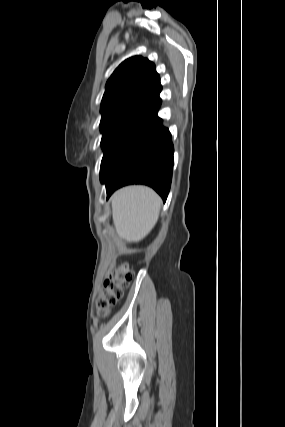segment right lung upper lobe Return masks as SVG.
Returning <instances> with one entry per match:
<instances>
[{
  "instance_id": "right-lung-upper-lobe-1",
  "label": "right lung upper lobe",
  "mask_w": 285,
  "mask_h": 427,
  "mask_svg": "<svg viewBox=\"0 0 285 427\" xmlns=\"http://www.w3.org/2000/svg\"><path fill=\"white\" fill-rule=\"evenodd\" d=\"M162 87L155 65L140 56L122 62L106 84L102 118L119 113H146L159 101Z\"/></svg>"
}]
</instances>
